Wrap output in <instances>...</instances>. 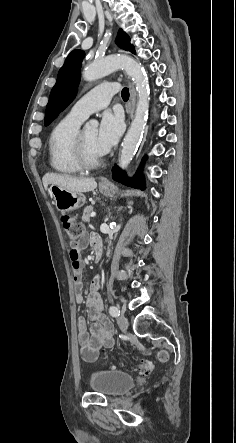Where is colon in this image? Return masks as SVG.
<instances>
[{
	"label": "colon",
	"mask_w": 236,
	"mask_h": 443,
	"mask_svg": "<svg viewBox=\"0 0 236 443\" xmlns=\"http://www.w3.org/2000/svg\"><path fill=\"white\" fill-rule=\"evenodd\" d=\"M61 223L73 246L71 250L72 268L75 271H80L82 266L80 263V252L78 251V243L83 236V226L77 218L68 215L61 217ZM157 356L158 359L161 361H167L169 358L166 351H159ZM83 358L90 359L91 356L90 354L86 353ZM151 368L152 363L150 361H142V363L139 365V370L141 372H148L151 370Z\"/></svg>",
	"instance_id": "1"
}]
</instances>
